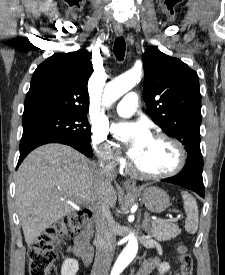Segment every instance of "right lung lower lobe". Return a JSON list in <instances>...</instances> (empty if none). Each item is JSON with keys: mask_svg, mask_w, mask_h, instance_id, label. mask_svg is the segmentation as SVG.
<instances>
[{"mask_svg": "<svg viewBox=\"0 0 225 275\" xmlns=\"http://www.w3.org/2000/svg\"><path fill=\"white\" fill-rule=\"evenodd\" d=\"M47 143L66 144L80 151L87 157L92 156V148L89 144H82L80 142H77L65 137L45 135V134H30V135L22 136L21 138L20 157L18 160L17 168L29 152H31L36 147Z\"/></svg>", "mask_w": 225, "mask_h": 275, "instance_id": "obj_1", "label": "right lung lower lobe"}]
</instances>
